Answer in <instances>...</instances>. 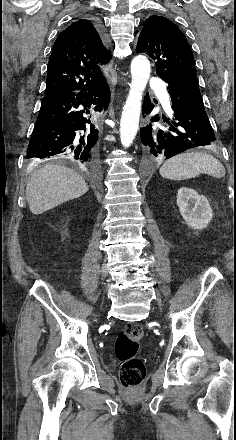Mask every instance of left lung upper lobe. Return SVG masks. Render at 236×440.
Wrapping results in <instances>:
<instances>
[{"label":"left lung upper lobe","mask_w":236,"mask_h":440,"mask_svg":"<svg viewBox=\"0 0 236 440\" xmlns=\"http://www.w3.org/2000/svg\"><path fill=\"white\" fill-rule=\"evenodd\" d=\"M136 52L154 60L157 75L168 83V88L182 80H197L193 53L184 33L165 17L146 20Z\"/></svg>","instance_id":"5c2ea615"}]
</instances>
